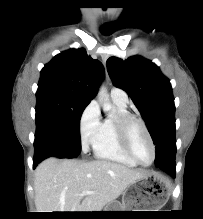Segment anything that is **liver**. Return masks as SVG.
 Returning a JSON list of instances; mask_svg holds the SVG:
<instances>
[{
	"instance_id": "obj_1",
	"label": "liver",
	"mask_w": 203,
	"mask_h": 219,
	"mask_svg": "<svg viewBox=\"0 0 203 219\" xmlns=\"http://www.w3.org/2000/svg\"><path fill=\"white\" fill-rule=\"evenodd\" d=\"M148 172L106 160L47 158L35 170L38 212L102 211ZM84 191L93 194L81 195Z\"/></svg>"
}]
</instances>
